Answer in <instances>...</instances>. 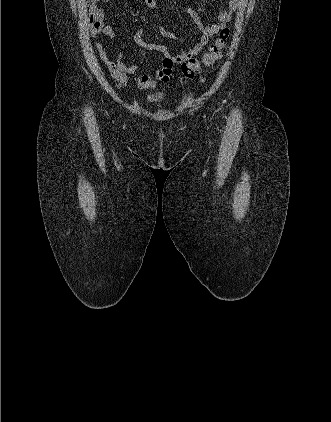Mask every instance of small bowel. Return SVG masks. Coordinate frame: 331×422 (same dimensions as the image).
I'll return each mask as SVG.
<instances>
[{"label":"small bowel","instance_id":"obj_1","mask_svg":"<svg viewBox=\"0 0 331 422\" xmlns=\"http://www.w3.org/2000/svg\"><path fill=\"white\" fill-rule=\"evenodd\" d=\"M242 1L243 0H228L227 7L219 11L216 16V20L207 26H204L202 24L201 18L194 8H186V13L191 16L194 23L197 25L201 32V38L192 47L182 50L175 54H172L169 51L168 47L165 45L146 42L143 39L145 29H138L134 35L136 45L148 51L160 52L163 56L161 65L153 69L151 74L143 75L138 81V86L140 88H147L148 83L151 80L168 81L175 65L196 59V56L204 49L210 37H212L214 34L218 33L221 29H223L226 24L232 19L234 14L240 9ZM143 2L150 10L153 11L154 17L157 18L158 15L155 11L156 0H143ZM103 19V10L96 6L92 10L91 17L92 36L97 38L101 34H103L109 38H114V27L111 24H104ZM159 30L163 35L167 37H171L179 42H184L183 38L173 35L171 32L167 31L162 26H159ZM96 48L99 52L100 58L102 59L106 67L109 69L112 77L121 85H126L128 75L134 73L137 70L136 64H126L124 62V56L127 51V47L121 46L120 52L116 58H112L109 55L108 51L105 48V45L101 41H98L96 43Z\"/></svg>","mask_w":331,"mask_h":422}]
</instances>
